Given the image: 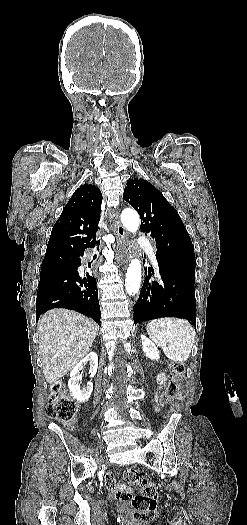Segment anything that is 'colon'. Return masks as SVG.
I'll use <instances>...</instances> for the list:
<instances>
[{
    "label": "colon",
    "instance_id": "colon-1",
    "mask_svg": "<svg viewBox=\"0 0 247 525\" xmlns=\"http://www.w3.org/2000/svg\"><path fill=\"white\" fill-rule=\"evenodd\" d=\"M171 373L166 386L167 402H174L185 396V365L181 361H174L170 365ZM78 407L74 399L66 393L65 385L58 381L51 385V396L45 407L49 418L57 419L64 423L75 420ZM128 484L136 485L140 492L132 498L135 508L134 517L140 522H152L157 513L156 501L158 486L151 478L143 473L129 469L124 474Z\"/></svg>",
    "mask_w": 247,
    "mask_h": 525
}]
</instances>
